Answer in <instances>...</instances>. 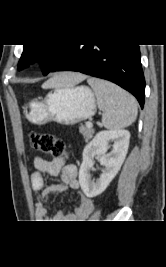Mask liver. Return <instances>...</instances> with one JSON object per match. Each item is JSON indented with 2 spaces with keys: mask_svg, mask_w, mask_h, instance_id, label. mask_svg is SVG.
Listing matches in <instances>:
<instances>
[{
  "mask_svg": "<svg viewBox=\"0 0 166 267\" xmlns=\"http://www.w3.org/2000/svg\"><path fill=\"white\" fill-rule=\"evenodd\" d=\"M86 75L80 73H65L55 76L46 81L42 87L44 89L57 88V87H71L86 79Z\"/></svg>",
  "mask_w": 166,
  "mask_h": 267,
  "instance_id": "1",
  "label": "liver"
}]
</instances>
